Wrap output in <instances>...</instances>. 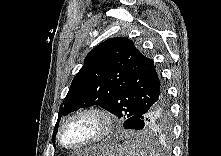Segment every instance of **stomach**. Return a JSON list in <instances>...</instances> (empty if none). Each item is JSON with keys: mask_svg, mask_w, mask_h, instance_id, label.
<instances>
[{"mask_svg": "<svg viewBox=\"0 0 221 156\" xmlns=\"http://www.w3.org/2000/svg\"><path fill=\"white\" fill-rule=\"evenodd\" d=\"M87 153L91 156H129L128 149L124 145L116 143L93 147Z\"/></svg>", "mask_w": 221, "mask_h": 156, "instance_id": "obj_1", "label": "stomach"}]
</instances>
